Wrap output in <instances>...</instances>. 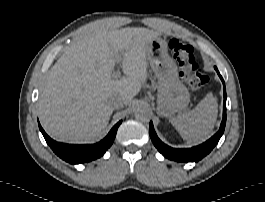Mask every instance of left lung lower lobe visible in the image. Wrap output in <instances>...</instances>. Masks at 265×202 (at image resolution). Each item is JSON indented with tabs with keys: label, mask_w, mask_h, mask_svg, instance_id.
Here are the masks:
<instances>
[{
	"label": "left lung lower lobe",
	"mask_w": 265,
	"mask_h": 202,
	"mask_svg": "<svg viewBox=\"0 0 265 202\" xmlns=\"http://www.w3.org/2000/svg\"><path fill=\"white\" fill-rule=\"evenodd\" d=\"M220 79L224 85V107H223V119L220 125L219 131L212 136L209 140L200 144L198 146L187 148V149H176L172 148L166 144H164L156 135L155 130L153 128L152 122H150V130L149 134L154 146L158 149V151L166 158L177 161V162H197L201 160L203 157L208 155L211 150L216 146L219 142L221 136L224 133L225 124H226V90L225 84L222 76L218 72L217 68L215 67Z\"/></svg>",
	"instance_id": "0a47b994"
}]
</instances>
